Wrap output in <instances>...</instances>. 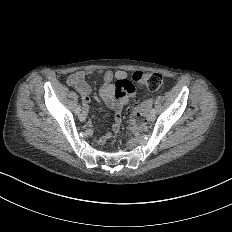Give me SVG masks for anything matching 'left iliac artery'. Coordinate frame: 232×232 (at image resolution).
I'll list each match as a JSON object with an SVG mask.
<instances>
[{
  "label": "left iliac artery",
  "mask_w": 232,
  "mask_h": 232,
  "mask_svg": "<svg viewBox=\"0 0 232 232\" xmlns=\"http://www.w3.org/2000/svg\"><path fill=\"white\" fill-rule=\"evenodd\" d=\"M150 112H151V114H153V115H154V114L156 113V109H154V108H153V109H151V111H150Z\"/></svg>",
  "instance_id": "obj_1"
}]
</instances>
